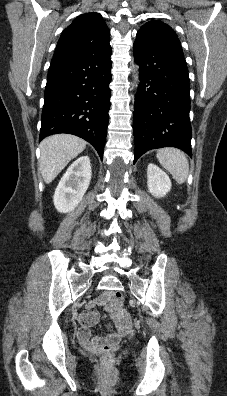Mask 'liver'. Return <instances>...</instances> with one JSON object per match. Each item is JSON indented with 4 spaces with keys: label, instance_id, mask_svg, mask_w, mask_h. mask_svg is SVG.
<instances>
[{
    "label": "liver",
    "instance_id": "obj_1",
    "mask_svg": "<svg viewBox=\"0 0 227 396\" xmlns=\"http://www.w3.org/2000/svg\"><path fill=\"white\" fill-rule=\"evenodd\" d=\"M86 141L69 135L57 134L45 138L41 144L39 169L43 180L49 184L86 147Z\"/></svg>",
    "mask_w": 227,
    "mask_h": 396
}]
</instances>
